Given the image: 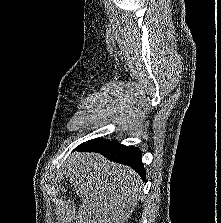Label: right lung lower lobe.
Segmentation results:
<instances>
[{"instance_id": "obj_1", "label": "right lung lower lobe", "mask_w": 221, "mask_h": 223, "mask_svg": "<svg viewBox=\"0 0 221 223\" xmlns=\"http://www.w3.org/2000/svg\"><path fill=\"white\" fill-rule=\"evenodd\" d=\"M79 151L98 152L109 160L125 164L145 180V169L141 162V152L136 147L125 146L117 141H107L102 138H96L82 143L77 148Z\"/></svg>"}]
</instances>
